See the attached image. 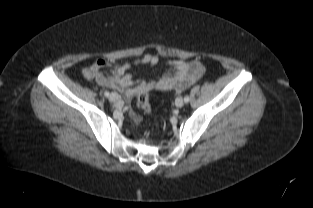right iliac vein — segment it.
I'll list each match as a JSON object with an SVG mask.
<instances>
[{
  "instance_id": "obj_1",
  "label": "right iliac vein",
  "mask_w": 313,
  "mask_h": 208,
  "mask_svg": "<svg viewBox=\"0 0 313 208\" xmlns=\"http://www.w3.org/2000/svg\"><path fill=\"white\" fill-rule=\"evenodd\" d=\"M109 100L112 102V103H117L118 100H119V96L117 93L115 92H112L109 96Z\"/></svg>"
}]
</instances>
